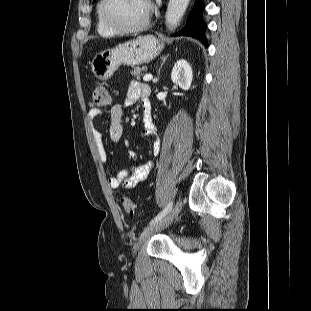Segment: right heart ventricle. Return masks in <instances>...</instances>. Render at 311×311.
<instances>
[{"mask_svg":"<svg viewBox=\"0 0 311 311\" xmlns=\"http://www.w3.org/2000/svg\"><path fill=\"white\" fill-rule=\"evenodd\" d=\"M100 1L97 5L96 8V31L99 35L104 36V37H109L115 35V32L111 30L108 26L105 25L103 22L101 15H100Z\"/></svg>","mask_w":311,"mask_h":311,"instance_id":"right-heart-ventricle-1","label":"right heart ventricle"}]
</instances>
